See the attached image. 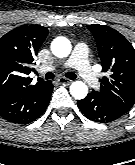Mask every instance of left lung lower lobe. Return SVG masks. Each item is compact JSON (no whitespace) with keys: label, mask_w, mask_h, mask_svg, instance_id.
I'll use <instances>...</instances> for the list:
<instances>
[{"label":"left lung lower lobe","mask_w":135,"mask_h":165,"mask_svg":"<svg viewBox=\"0 0 135 165\" xmlns=\"http://www.w3.org/2000/svg\"><path fill=\"white\" fill-rule=\"evenodd\" d=\"M77 104L88 119L96 122H112L126 114L94 90Z\"/></svg>","instance_id":"1"}]
</instances>
